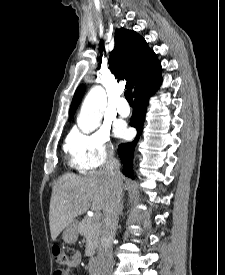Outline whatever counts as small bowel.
I'll use <instances>...</instances> for the list:
<instances>
[{"label":"small bowel","mask_w":225,"mask_h":275,"mask_svg":"<svg viewBox=\"0 0 225 275\" xmlns=\"http://www.w3.org/2000/svg\"><path fill=\"white\" fill-rule=\"evenodd\" d=\"M81 258V253L76 251L73 253L70 262L66 265V268L64 270L56 271L54 275H74L79 266Z\"/></svg>","instance_id":"small-bowel-1"}]
</instances>
